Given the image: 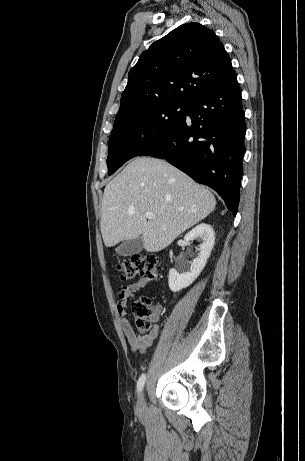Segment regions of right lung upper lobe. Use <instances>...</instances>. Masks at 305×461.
<instances>
[{
    "label": "right lung upper lobe",
    "mask_w": 305,
    "mask_h": 461,
    "mask_svg": "<svg viewBox=\"0 0 305 461\" xmlns=\"http://www.w3.org/2000/svg\"><path fill=\"white\" fill-rule=\"evenodd\" d=\"M233 74L216 34L199 23L183 24L140 55L128 74L115 122L161 104H189Z\"/></svg>",
    "instance_id": "obj_1"
}]
</instances>
